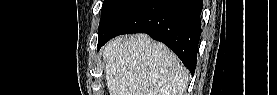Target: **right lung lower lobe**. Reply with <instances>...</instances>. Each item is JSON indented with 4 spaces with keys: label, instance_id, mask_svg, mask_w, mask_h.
<instances>
[{
    "label": "right lung lower lobe",
    "instance_id": "1",
    "mask_svg": "<svg viewBox=\"0 0 277 95\" xmlns=\"http://www.w3.org/2000/svg\"><path fill=\"white\" fill-rule=\"evenodd\" d=\"M202 0H144L98 46L120 34L147 33L166 44L194 74Z\"/></svg>",
    "mask_w": 277,
    "mask_h": 95
}]
</instances>
